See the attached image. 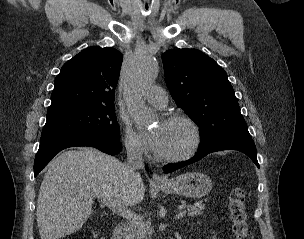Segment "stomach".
Segmentation results:
<instances>
[{
	"instance_id": "0dacf381",
	"label": "stomach",
	"mask_w": 304,
	"mask_h": 239,
	"mask_svg": "<svg viewBox=\"0 0 304 239\" xmlns=\"http://www.w3.org/2000/svg\"><path fill=\"white\" fill-rule=\"evenodd\" d=\"M166 194H178L190 198H201L212 189L209 176L201 172H187L157 186Z\"/></svg>"
}]
</instances>
